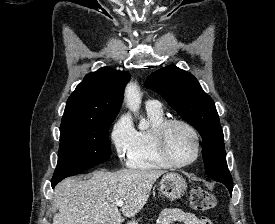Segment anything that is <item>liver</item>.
<instances>
[{
	"label": "liver",
	"mask_w": 275,
	"mask_h": 224,
	"mask_svg": "<svg viewBox=\"0 0 275 224\" xmlns=\"http://www.w3.org/2000/svg\"><path fill=\"white\" fill-rule=\"evenodd\" d=\"M160 170L97 171L87 180L66 178L55 187L53 224H122L146 204ZM123 200L121 212L117 202Z\"/></svg>",
	"instance_id": "liver-1"
}]
</instances>
